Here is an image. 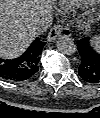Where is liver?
<instances>
[{
    "instance_id": "obj_1",
    "label": "liver",
    "mask_w": 100,
    "mask_h": 118,
    "mask_svg": "<svg viewBox=\"0 0 100 118\" xmlns=\"http://www.w3.org/2000/svg\"><path fill=\"white\" fill-rule=\"evenodd\" d=\"M54 0H0V56H20L37 36L33 24L50 16Z\"/></svg>"
}]
</instances>
